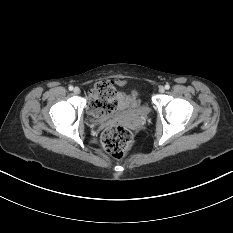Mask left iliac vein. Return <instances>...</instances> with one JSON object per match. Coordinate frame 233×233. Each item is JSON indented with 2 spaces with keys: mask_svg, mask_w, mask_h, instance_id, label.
Here are the masks:
<instances>
[{
  "mask_svg": "<svg viewBox=\"0 0 233 233\" xmlns=\"http://www.w3.org/2000/svg\"><path fill=\"white\" fill-rule=\"evenodd\" d=\"M159 92H160V93H164V92H165V88H164L163 86H160V87H159Z\"/></svg>",
  "mask_w": 233,
  "mask_h": 233,
  "instance_id": "obj_1",
  "label": "left iliac vein"
}]
</instances>
